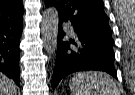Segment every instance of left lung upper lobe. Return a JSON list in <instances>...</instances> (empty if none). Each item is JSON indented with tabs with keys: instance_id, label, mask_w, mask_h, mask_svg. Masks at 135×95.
<instances>
[{
	"instance_id": "1",
	"label": "left lung upper lobe",
	"mask_w": 135,
	"mask_h": 95,
	"mask_svg": "<svg viewBox=\"0 0 135 95\" xmlns=\"http://www.w3.org/2000/svg\"><path fill=\"white\" fill-rule=\"evenodd\" d=\"M46 6H54L59 19L72 26L92 31L111 32L102 0H44Z\"/></svg>"
}]
</instances>
